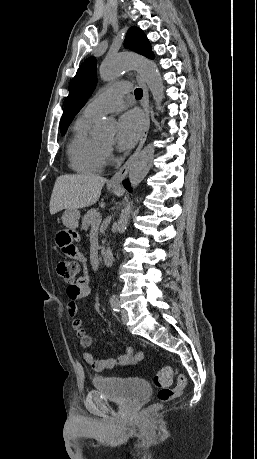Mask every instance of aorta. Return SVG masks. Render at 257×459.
<instances>
[{"mask_svg":"<svg viewBox=\"0 0 257 459\" xmlns=\"http://www.w3.org/2000/svg\"><path fill=\"white\" fill-rule=\"evenodd\" d=\"M131 68L139 71L152 93L155 104L160 107L163 100L164 85L159 70L152 61L129 53L109 56L100 66V77L104 81H111ZM114 127L115 123L113 120L102 119L95 126V136L101 140H109L114 136ZM153 159L154 147L152 144L147 145L133 158L129 169V180L133 189L145 178L150 170ZM129 215L130 207L128 205L120 214L116 224L117 232L121 233L126 229Z\"/></svg>","mask_w":257,"mask_h":459,"instance_id":"obj_1","label":"aorta"}]
</instances>
